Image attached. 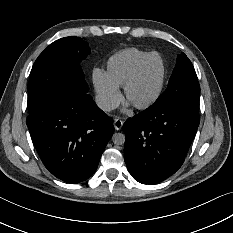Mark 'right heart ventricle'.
Returning a JSON list of instances; mask_svg holds the SVG:
<instances>
[{"label": "right heart ventricle", "mask_w": 233, "mask_h": 233, "mask_svg": "<svg viewBox=\"0 0 233 233\" xmlns=\"http://www.w3.org/2000/svg\"><path fill=\"white\" fill-rule=\"evenodd\" d=\"M148 54V51L138 48L122 49L108 58L105 74L114 85L121 88L133 70Z\"/></svg>", "instance_id": "e07e8e85"}]
</instances>
